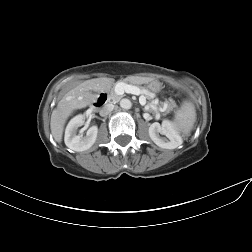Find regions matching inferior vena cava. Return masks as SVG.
Instances as JSON below:
<instances>
[{"label": "inferior vena cava", "instance_id": "inferior-vena-cava-1", "mask_svg": "<svg viewBox=\"0 0 252 252\" xmlns=\"http://www.w3.org/2000/svg\"><path fill=\"white\" fill-rule=\"evenodd\" d=\"M114 109L113 104H106L104 105L101 110H100V115L101 116H106L108 115L112 110Z\"/></svg>", "mask_w": 252, "mask_h": 252}]
</instances>
